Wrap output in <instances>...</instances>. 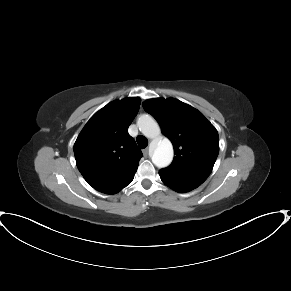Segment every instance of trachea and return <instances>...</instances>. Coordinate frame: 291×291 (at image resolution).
<instances>
[{"mask_svg":"<svg viewBox=\"0 0 291 291\" xmlns=\"http://www.w3.org/2000/svg\"><path fill=\"white\" fill-rule=\"evenodd\" d=\"M136 140H137L138 146H139L141 149H144V148L147 147V145H148V140H147L144 136L139 135V136H137Z\"/></svg>","mask_w":291,"mask_h":291,"instance_id":"trachea-1","label":"trachea"}]
</instances>
